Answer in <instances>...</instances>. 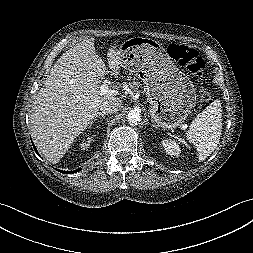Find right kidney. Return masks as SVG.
I'll return each mask as SVG.
<instances>
[{
	"mask_svg": "<svg viewBox=\"0 0 253 253\" xmlns=\"http://www.w3.org/2000/svg\"><path fill=\"white\" fill-rule=\"evenodd\" d=\"M92 140H93L92 136H89L81 140V143H80L81 149H88Z\"/></svg>",
	"mask_w": 253,
	"mask_h": 253,
	"instance_id": "obj_1",
	"label": "right kidney"
}]
</instances>
